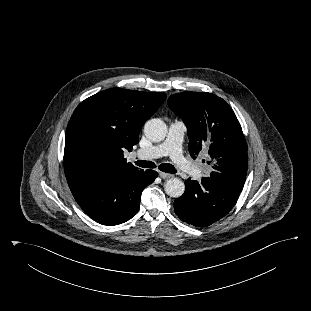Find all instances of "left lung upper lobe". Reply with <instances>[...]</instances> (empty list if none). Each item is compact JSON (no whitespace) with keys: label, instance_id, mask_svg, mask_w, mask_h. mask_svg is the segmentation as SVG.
<instances>
[{"label":"left lung upper lobe","instance_id":"obj_1","mask_svg":"<svg viewBox=\"0 0 311 311\" xmlns=\"http://www.w3.org/2000/svg\"><path fill=\"white\" fill-rule=\"evenodd\" d=\"M170 109L184 121L189 152L195 159L206 151L212 166L210 178L241 193L248 169L246 141L232 108L220 97L206 92L171 95Z\"/></svg>","mask_w":311,"mask_h":311}]
</instances>
